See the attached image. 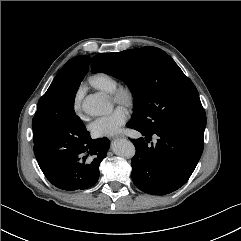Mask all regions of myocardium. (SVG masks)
<instances>
[{
    "instance_id": "f54148a6",
    "label": "myocardium",
    "mask_w": 241,
    "mask_h": 241,
    "mask_svg": "<svg viewBox=\"0 0 241 241\" xmlns=\"http://www.w3.org/2000/svg\"><path fill=\"white\" fill-rule=\"evenodd\" d=\"M112 100L123 106H131L134 101V94L130 87L119 86L111 93Z\"/></svg>"
}]
</instances>
